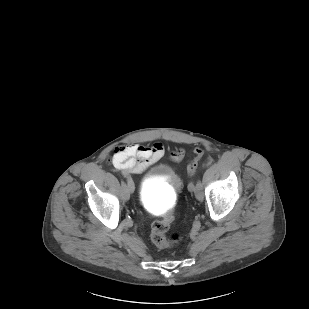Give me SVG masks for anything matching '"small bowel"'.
<instances>
[{
	"mask_svg": "<svg viewBox=\"0 0 309 309\" xmlns=\"http://www.w3.org/2000/svg\"><path fill=\"white\" fill-rule=\"evenodd\" d=\"M164 154V147L161 143H154L151 146L141 144H130L124 149V156L114 157L116 168L126 172L139 174L144 172L150 165L157 162ZM184 156V151L175 152L173 160L179 161Z\"/></svg>",
	"mask_w": 309,
	"mask_h": 309,
	"instance_id": "small-bowel-1",
	"label": "small bowel"
}]
</instances>
